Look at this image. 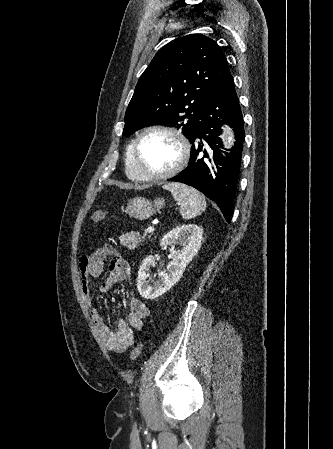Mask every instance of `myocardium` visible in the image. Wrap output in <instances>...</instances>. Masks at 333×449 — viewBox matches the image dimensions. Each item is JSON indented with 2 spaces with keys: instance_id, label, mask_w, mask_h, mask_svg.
Returning a JSON list of instances; mask_svg holds the SVG:
<instances>
[{
  "instance_id": "f54148a6",
  "label": "myocardium",
  "mask_w": 333,
  "mask_h": 449,
  "mask_svg": "<svg viewBox=\"0 0 333 449\" xmlns=\"http://www.w3.org/2000/svg\"><path fill=\"white\" fill-rule=\"evenodd\" d=\"M152 132H161V133L171 136L177 142V144L179 146V158H178L177 162L175 163V165L172 168H170L169 170L164 171L162 173H157V174L145 173L142 170L141 165H140V144H141L143 138ZM189 157H190V145H189V142L187 141L186 137L181 132H179L177 129L166 126V125L156 124V125L147 126L138 134V136L136 137V139L133 142L134 167L142 181H146V182L161 181V180H166V179H169V178L175 176L180 171H182L184 169V167L187 165Z\"/></svg>"
}]
</instances>
